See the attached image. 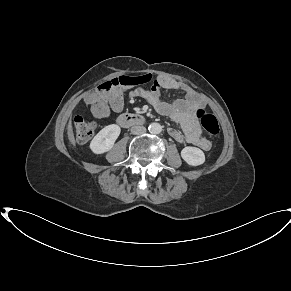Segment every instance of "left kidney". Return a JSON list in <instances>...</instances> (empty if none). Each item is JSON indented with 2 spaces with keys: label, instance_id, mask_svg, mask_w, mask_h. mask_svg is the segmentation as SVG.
Returning a JSON list of instances; mask_svg holds the SVG:
<instances>
[{
  "label": "left kidney",
  "instance_id": "5707ae66",
  "mask_svg": "<svg viewBox=\"0 0 291 291\" xmlns=\"http://www.w3.org/2000/svg\"><path fill=\"white\" fill-rule=\"evenodd\" d=\"M182 159L191 166H199L205 162L203 151L197 147H185L181 151Z\"/></svg>",
  "mask_w": 291,
  "mask_h": 291
}]
</instances>
